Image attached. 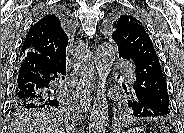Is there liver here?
Segmentation results:
<instances>
[{
	"instance_id": "obj_1",
	"label": "liver",
	"mask_w": 184,
	"mask_h": 133,
	"mask_svg": "<svg viewBox=\"0 0 184 133\" xmlns=\"http://www.w3.org/2000/svg\"><path fill=\"white\" fill-rule=\"evenodd\" d=\"M9 131L10 133H64L65 129L58 118L42 112L22 116Z\"/></svg>"
}]
</instances>
